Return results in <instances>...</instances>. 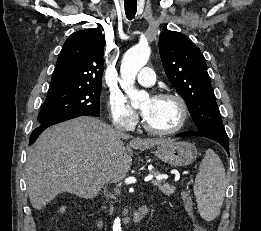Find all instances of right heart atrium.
I'll use <instances>...</instances> for the list:
<instances>
[{"instance_id":"1","label":"right heart atrium","mask_w":261,"mask_h":231,"mask_svg":"<svg viewBox=\"0 0 261 231\" xmlns=\"http://www.w3.org/2000/svg\"><path fill=\"white\" fill-rule=\"evenodd\" d=\"M108 109L111 121L123 130H132L138 123V114L129 106L125 98L112 93L108 99Z\"/></svg>"}]
</instances>
